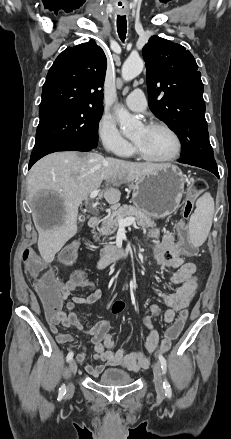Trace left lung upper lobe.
<instances>
[{
  "instance_id": "5c2ea615",
  "label": "left lung upper lobe",
  "mask_w": 231,
  "mask_h": 439,
  "mask_svg": "<svg viewBox=\"0 0 231 439\" xmlns=\"http://www.w3.org/2000/svg\"><path fill=\"white\" fill-rule=\"evenodd\" d=\"M143 56L149 107L179 136L180 161L217 166L205 119L204 86L192 54L180 44L152 36Z\"/></svg>"
}]
</instances>
